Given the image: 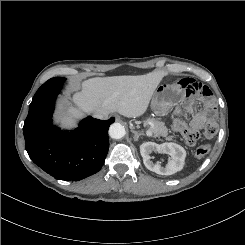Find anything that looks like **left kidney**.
Segmentation results:
<instances>
[{"instance_id": "1", "label": "left kidney", "mask_w": 245, "mask_h": 245, "mask_svg": "<svg viewBox=\"0 0 245 245\" xmlns=\"http://www.w3.org/2000/svg\"><path fill=\"white\" fill-rule=\"evenodd\" d=\"M152 152L166 153L171 156L168 164L162 167L159 163L151 161L150 154ZM140 153L143 158L145 167L159 175H172L184 167L186 157L185 149L176 143L156 144L154 142H145L140 145Z\"/></svg>"}]
</instances>
